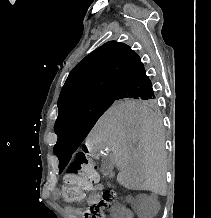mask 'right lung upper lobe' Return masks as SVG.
<instances>
[{
    "mask_svg": "<svg viewBox=\"0 0 211 218\" xmlns=\"http://www.w3.org/2000/svg\"><path fill=\"white\" fill-rule=\"evenodd\" d=\"M143 66L123 43L110 41L86 56L69 74L58 99L59 114L86 100L117 95Z\"/></svg>",
    "mask_w": 211,
    "mask_h": 218,
    "instance_id": "right-lung-upper-lobe-1",
    "label": "right lung upper lobe"
}]
</instances>
